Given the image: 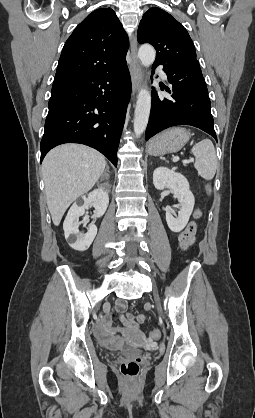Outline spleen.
Returning <instances> with one entry per match:
<instances>
[{"label":"spleen","mask_w":255,"mask_h":418,"mask_svg":"<svg viewBox=\"0 0 255 418\" xmlns=\"http://www.w3.org/2000/svg\"><path fill=\"white\" fill-rule=\"evenodd\" d=\"M191 153L196 158L194 167L198 175L205 180H211L217 169V157L212 141L203 139L192 147Z\"/></svg>","instance_id":"3e777b00"}]
</instances>
